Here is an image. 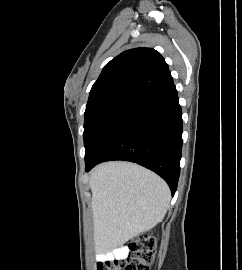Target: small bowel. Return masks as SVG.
Listing matches in <instances>:
<instances>
[{
  "instance_id": "c3829d8e",
  "label": "small bowel",
  "mask_w": 242,
  "mask_h": 270,
  "mask_svg": "<svg viewBox=\"0 0 242 270\" xmlns=\"http://www.w3.org/2000/svg\"><path fill=\"white\" fill-rule=\"evenodd\" d=\"M127 254L125 247L115 249L113 252L102 254L98 258L97 264L108 265L115 258H124Z\"/></svg>"
}]
</instances>
